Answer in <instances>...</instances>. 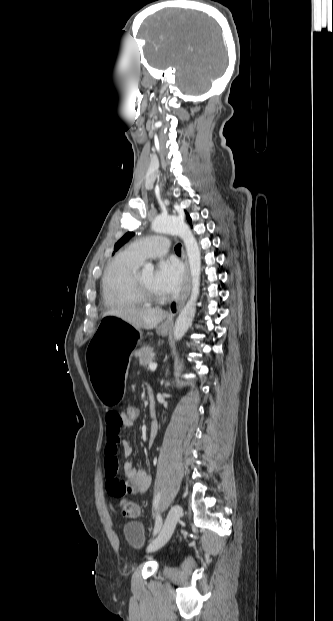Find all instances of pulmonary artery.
I'll return each instance as SVG.
<instances>
[{"mask_svg": "<svg viewBox=\"0 0 333 621\" xmlns=\"http://www.w3.org/2000/svg\"><path fill=\"white\" fill-rule=\"evenodd\" d=\"M168 249L169 243L166 237L150 236L131 243L127 252L142 262L147 258L162 256Z\"/></svg>", "mask_w": 333, "mask_h": 621, "instance_id": "obj_1", "label": "pulmonary artery"}]
</instances>
